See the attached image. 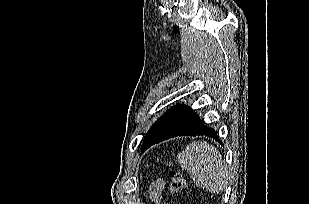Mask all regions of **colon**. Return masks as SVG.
<instances>
[{"mask_svg": "<svg viewBox=\"0 0 309 204\" xmlns=\"http://www.w3.org/2000/svg\"><path fill=\"white\" fill-rule=\"evenodd\" d=\"M169 178H170L169 193L172 196L179 195L185 187V178L183 173L180 170L171 167L169 171Z\"/></svg>", "mask_w": 309, "mask_h": 204, "instance_id": "obj_1", "label": "colon"}]
</instances>
